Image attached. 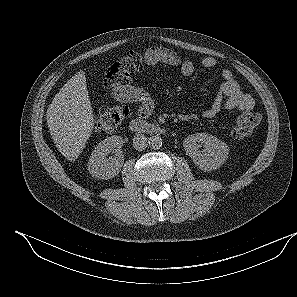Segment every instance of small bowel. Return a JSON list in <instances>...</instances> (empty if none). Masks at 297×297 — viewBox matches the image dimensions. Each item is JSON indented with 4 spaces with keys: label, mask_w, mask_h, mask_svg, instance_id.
I'll list each match as a JSON object with an SVG mask.
<instances>
[{
    "label": "small bowel",
    "mask_w": 297,
    "mask_h": 297,
    "mask_svg": "<svg viewBox=\"0 0 297 297\" xmlns=\"http://www.w3.org/2000/svg\"><path fill=\"white\" fill-rule=\"evenodd\" d=\"M148 65L163 64L179 69L182 75L190 76L195 70L194 63L181 57L176 52L162 48L150 47L144 53ZM202 66L213 68L217 60L213 57H205L201 61ZM222 84L213 103L203 111L206 118L215 117L223 108L228 110L249 111L254 107V99L244 93L233 77L230 70H223L221 73ZM113 98L121 103H138V113L141 117H148L154 109V102L150 93L142 87L127 83L116 88L112 92Z\"/></svg>",
    "instance_id": "c3829d8e"
}]
</instances>
